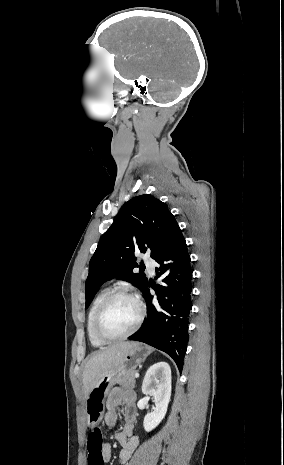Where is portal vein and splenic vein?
Here are the masks:
<instances>
[{"instance_id":"portal-vein-and-splenic-vein-1","label":"portal vein and splenic vein","mask_w":284,"mask_h":465,"mask_svg":"<svg viewBox=\"0 0 284 465\" xmlns=\"http://www.w3.org/2000/svg\"><path fill=\"white\" fill-rule=\"evenodd\" d=\"M137 377H139V373H135V379H137Z\"/></svg>"}]
</instances>
